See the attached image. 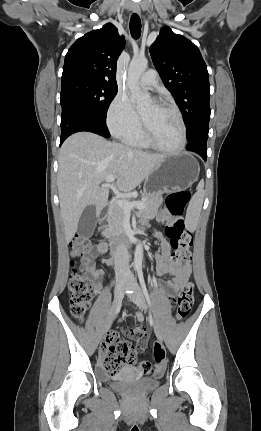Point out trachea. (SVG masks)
<instances>
[{
	"label": "trachea",
	"instance_id": "trachea-1",
	"mask_svg": "<svg viewBox=\"0 0 261 431\" xmlns=\"http://www.w3.org/2000/svg\"><path fill=\"white\" fill-rule=\"evenodd\" d=\"M130 33L134 39H138L141 35V20L136 13L132 14L130 19Z\"/></svg>",
	"mask_w": 261,
	"mask_h": 431
}]
</instances>
